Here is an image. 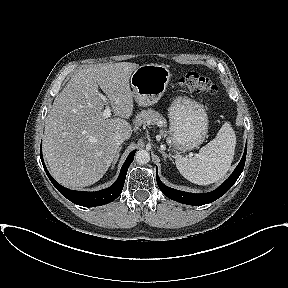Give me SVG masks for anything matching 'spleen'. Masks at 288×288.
Here are the masks:
<instances>
[{
  "instance_id": "1",
  "label": "spleen",
  "mask_w": 288,
  "mask_h": 288,
  "mask_svg": "<svg viewBox=\"0 0 288 288\" xmlns=\"http://www.w3.org/2000/svg\"><path fill=\"white\" fill-rule=\"evenodd\" d=\"M236 146V136L226 122L217 136L193 157L179 156L175 160L178 171L188 181L208 185L222 179L230 169Z\"/></svg>"
}]
</instances>
